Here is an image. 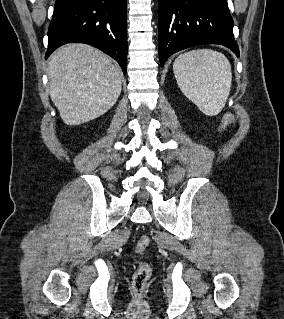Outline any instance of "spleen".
Instances as JSON below:
<instances>
[{
    "instance_id": "spleen-1",
    "label": "spleen",
    "mask_w": 284,
    "mask_h": 319,
    "mask_svg": "<svg viewBox=\"0 0 284 319\" xmlns=\"http://www.w3.org/2000/svg\"><path fill=\"white\" fill-rule=\"evenodd\" d=\"M173 71L182 93L201 112L215 116L224 108L232 83L231 65L222 53L211 49L179 55Z\"/></svg>"
}]
</instances>
